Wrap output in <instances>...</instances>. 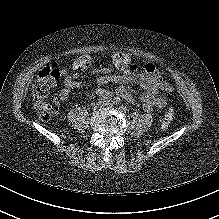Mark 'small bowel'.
Here are the masks:
<instances>
[{
  "mask_svg": "<svg viewBox=\"0 0 219 219\" xmlns=\"http://www.w3.org/2000/svg\"><path fill=\"white\" fill-rule=\"evenodd\" d=\"M112 61L120 70V73H114L112 70L101 74L97 77L98 85L108 84H135L140 86L144 92L140 95L139 102L136 101L134 92L125 86L118 87L115 91L105 89H97L96 94L99 96L116 94L129 103L140 106L144 111L163 110L167 106V98L163 93L172 92V86L166 82L154 65L146 64L142 71H139L138 66L131 60L129 55L124 52H116ZM90 63L88 56H81L73 63L74 74L64 73L63 87L55 96V104L66 100L70 91L75 88L87 86L89 83L78 79L79 71L85 70Z\"/></svg>",
  "mask_w": 219,
  "mask_h": 219,
  "instance_id": "obj_1",
  "label": "small bowel"
}]
</instances>
